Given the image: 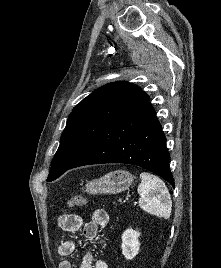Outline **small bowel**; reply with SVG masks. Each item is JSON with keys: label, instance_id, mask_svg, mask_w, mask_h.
Instances as JSON below:
<instances>
[{"label": "small bowel", "instance_id": "small-bowel-1", "mask_svg": "<svg viewBox=\"0 0 221 268\" xmlns=\"http://www.w3.org/2000/svg\"><path fill=\"white\" fill-rule=\"evenodd\" d=\"M109 222V215L103 209L95 210L89 221H86L79 215L69 214L63 215L58 220L59 227L66 232H76L82 230L84 235L90 239H98L99 229L106 226ZM76 248L73 240H66L59 244L58 254L61 257L70 256ZM59 268H73L69 260H63L59 264ZM80 268H109L107 259H98L95 263L92 261V256L87 254L84 257L83 263Z\"/></svg>", "mask_w": 221, "mask_h": 268}]
</instances>
